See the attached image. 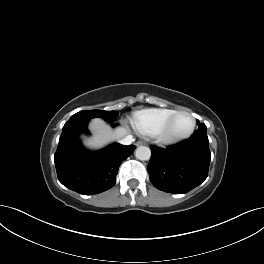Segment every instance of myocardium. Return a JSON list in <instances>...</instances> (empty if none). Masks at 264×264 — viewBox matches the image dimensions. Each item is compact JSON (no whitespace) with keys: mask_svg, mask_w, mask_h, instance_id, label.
Instances as JSON below:
<instances>
[{"mask_svg":"<svg viewBox=\"0 0 264 264\" xmlns=\"http://www.w3.org/2000/svg\"><path fill=\"white\" fill-rule=\"evenodd\" d=\"M181 114H186L189 116V118L191 119V127L185 133L177 134V135L170 134V128H171L173 120L178 115H181ZM195 128H196V119L194 118V116L186 110H178V111H175L167 119V121L163 124V126L156 133V135H155L156 140L158 143H160L162 145H174V144L180 143V142L190 138L192 136V134L194 133Z\"/></svg>","mask_w":264,"mask_h":264,"instance_id":"myocardium-1","label":"myocardium"}]
</instances>
